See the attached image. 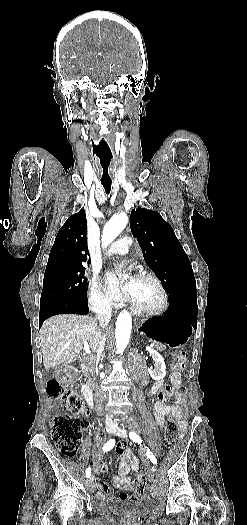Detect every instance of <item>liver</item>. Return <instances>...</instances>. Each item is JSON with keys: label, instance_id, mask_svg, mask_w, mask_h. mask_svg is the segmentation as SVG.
Instances as JSON below:
<instances>
[{"label": "liver", "instance_id": "obj_1", "mask_svg": "<svg viewBox=\"0 0 247 525\" xmlns=\"http://www.w3.org/2000/svg\"><path fill=\"white\" fill-rule=\"evenodd\" d=\"M109 323L100 329L96 317L88 315H55L44 321L40 329V341L44 369L74 363L84 347L93 353L97 349V337H107Z\"/></svg>", "mask_w": 247, "mask_h": 525}]
</instances>
